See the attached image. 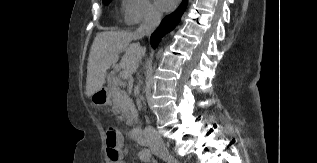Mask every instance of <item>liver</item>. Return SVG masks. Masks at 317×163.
<instances>
[{
  "instance_id": "obj_1",
  "label": "liver",
  "mask_w": 317,
  "mask_h": 163,
  "mask_svg": "<svg viewBox=\"0 0 317 163\" xmlns=\"http://www.w3.org/2000/svg\"><path fill=\"white\" fill-rule=\"evenodd\" d=\"M136 32L104 31L96 35L88 58L86 96L102 89L107 70L119 60V54L124 52L119 67L120 77L127 79L138 69L146 49L139 42Z\"/></svg>"
}]
</instances>
